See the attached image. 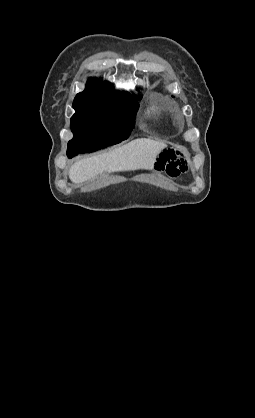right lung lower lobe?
Masks as SVG:
<instances>
[{
    "label": "right lung lower lobe",
    "instance_id": "1",
    "mask_svg": "<svg viewBox=\"0 0 255 418\" xmlns=\"http://www.w3.org/2000/svg\"><path fill=\"white\" fill-rule=\"evenodd\" d=\"M67 155H68L69 157H72V156H73V154H72V153H70V152H67Z\"/></svg>",
    "mask_w": 255,
    "mask_h": 418
}]
</instances>
